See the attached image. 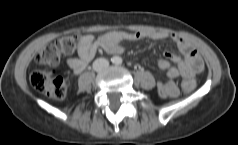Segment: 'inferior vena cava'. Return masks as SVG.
<instances>
[{"instance_id":"obj_1","label":"inferior vena cava","mask_w":238,"mask_h":145,"mask_svg":"<svg viewBox=\"0 0 238 145\" xmlns=\"http://www.w3.org/2000/svg\"><path fill=\"white\" fill-rule=\"evenodd\" d=\"M109 62L105 58H98L93 62V69L95 71H102L103 69L107 68Z\"/></svg>"}]
</instances>
